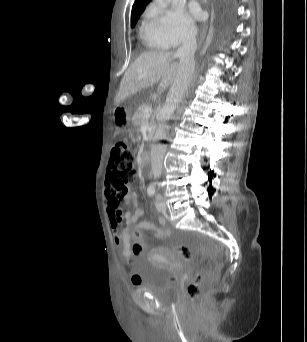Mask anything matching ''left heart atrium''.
I'll use <instances>...</instances> for the list:
<instances>
[{
  "instance_id": "39dd6f15",
  "label": "left heart atrium",
  "mask_w": 307,
  "mask_h": 342,
  "mask_svg": "<svg viewBox=\"0 0 307 342\" xmlns=\"http://www.w3.org/2000/svg\"><path fill=\"white\" fill-rule=\"evenodd\" d=\"M189 23L193 24L196 20H198L201 16V11L196 6H190L188 11L185 14Z\"/></svg>"
}]
</instances>
